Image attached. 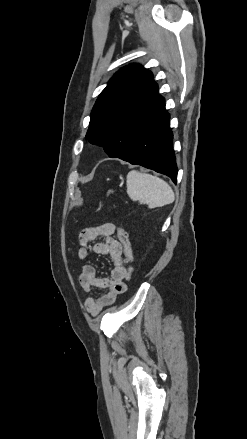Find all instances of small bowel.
Segmentation results:
<instances>
[{"mask_svg":"<svg viewBox=\"0 0 247 439\" xmlns=\"http://www.w3.org/2000/svg\"><path fill=\"white\" fill-rule=\"evenodd\" d=\"M109 225L85 228L79 234L78 257L81 260H86L94 252L108 256L112 263L110 278L98 277L95 267L90 264L84 265L80 272L79 283L85 292H92L94 288L105 290L96 298L86 299V309L92 315L113 304L118 295L127 290L126 282L132 273V267L125 263L122 244L113 237L114 231ZM97 239L101 240L95 242Z\"/></svg>","mask_w":247,"mask_h":439,"instance_id":"1","label":"small bowel"}]
</instances>
